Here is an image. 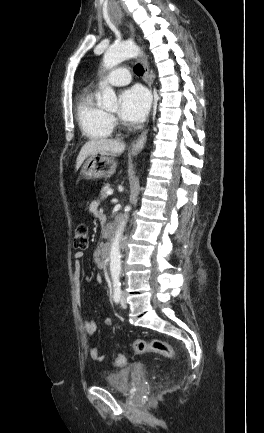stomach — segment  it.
<instances>
[{
	"label": "stomach",
	"mask_w": 264,
	"mask_h": 433,
	"mask_svg": "<svg viewBox=\"0 0 264 433\" xmlns=\"http://www.w3.org/2000/svg\"><path fill=\"white\" fill-rule=\"evenodd\" d=\"M116 167L113 156L94 154L83 165L81 175L85 179L109 178L115 173Z\"/></svg>",
	"instance_id": "0dacf381"
}]
</instances>
